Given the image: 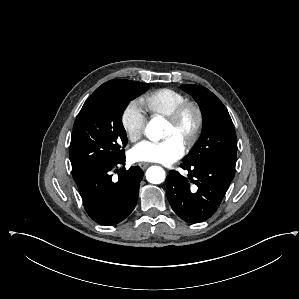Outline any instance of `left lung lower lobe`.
<instances>
[{"mask_svg": "<svg viewBox=\"0 0 299 299\" xmlns=\"http://www.w3.org/2000/svg\"><path fill=\"white\" fill-rule=\"evenodd\" d=\"M188 177L170 171L166 179L167 197L174 212L190 223L209 219L219 207L234 178V168L218 162L182 163Z\"/></svg>", "mask_w": 299, "mask_h": 299, "instance_id": "obj_1", "label": "left lung lower lobe"}]
</instances>
